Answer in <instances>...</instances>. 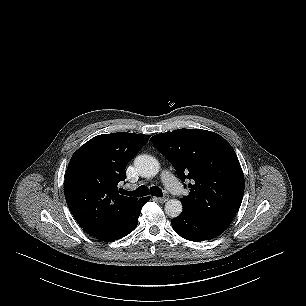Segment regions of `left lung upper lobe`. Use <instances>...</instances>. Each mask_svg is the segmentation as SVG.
<instances>
[{"mask_svg": "<svg viewBox=\"0 0 306 306\" xmlns=\"http://www.w3.org/2000/svg\"><path fill=\"white\" fill-rule=\"evenodd\" d=\"M181 181L189 179L183 207L233 219L244 193V176L232 146L202 129H179L151 137Z\"/></svg>", "mask_w": 306, "mask_h": 306, "instance_id": "left-lung-upper-lobe-1", "label": "left lung upper lobe"}]
</instances>
